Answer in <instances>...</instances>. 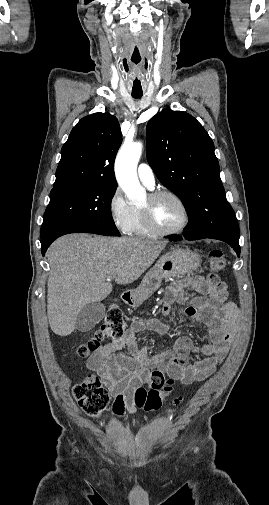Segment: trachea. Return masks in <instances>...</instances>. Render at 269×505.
<instances>
[{
    "instance_id": "3493384b",
    "label": "trachea",
    "mask_w": 269,
    "mask_h": 505,
    "mask_svg": "<svg viewBox=\"0 0 269 505\" xmlns=\"http://www.w3.org/2000/svg\"><path fill=\"white\" fill-rule=\"evenodd\" d=\"M142 95H143L142 92H132V97L136 99L141 98Z\"/></svg>"
}]
</instances>
